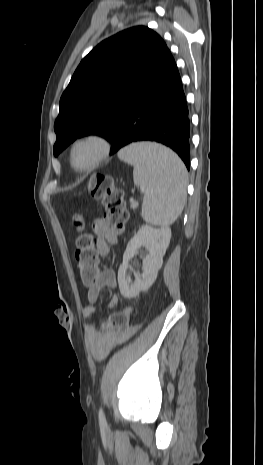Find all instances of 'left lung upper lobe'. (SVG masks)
Segmentation results:
<instances>
[{"mask_svg": "<svg viewBox=\"0 0 263 465\" xmlns=\"http://www.w3.org/2000/svg\"><path fill=\"white\" fill-rule=\"evenodd\" d=\"M166 48L162 38L144 26L98 44L81 61L61 96L54 155L84 135L112 141L137 82Z\"/></svg>", "mask_w": 263, "mask_h": 465, "instance_id": "1", "label": "left lung upper lobe"}]
</instances>
